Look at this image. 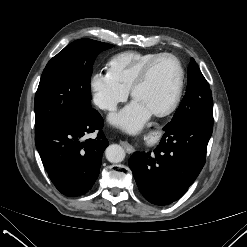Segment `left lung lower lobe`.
<instances>
[{
	"label": "left lung lower lobe",
	"instance_id": "1",
	"mask_svg": "<svg viewBox=\"0 0 247 247\" xmlns=\"http://www.w3.org/2000/svg\"><path fill=\"white\" fill-rule=\"evenodd\" d=\"M213 124L184 119L165 134L154 153L135 152L129 160L137 186L152 204L180 199L202 170Z\"/></svg>",
	"mask_w": 247,
	"mask_h": 247
}]
</instances>
